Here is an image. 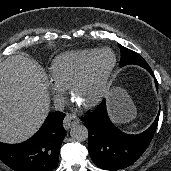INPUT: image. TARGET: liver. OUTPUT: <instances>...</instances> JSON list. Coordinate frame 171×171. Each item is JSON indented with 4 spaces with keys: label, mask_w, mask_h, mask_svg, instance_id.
I'll list each match as a JSON object with an SVG mask.
<instances>
[{
    "label": "liver",
    "mask_w": 171,
    "mask_h": 171,
    "mask_svg": "<svg viewBox=\"0 0 171 171\" xmlns=\"http://www.w3.org/2000/svg\"><path fill=\"white\" fill-rule=\"evenodd\" d=\"M46 75L31 59L13 55L0 63V142L20 143L49 113Z\"/></svg>",
    "instance_id": "6515ba94"
}]
</instances>
